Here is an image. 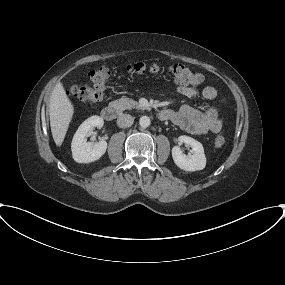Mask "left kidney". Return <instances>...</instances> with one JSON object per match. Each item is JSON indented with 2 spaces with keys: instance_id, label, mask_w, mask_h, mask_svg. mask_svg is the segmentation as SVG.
I'll return each instance as SVG.
<instances>
[{
  "instance_id": "1",
  "label": "left kidney",
  "mask_w": 285,
  "mask_h": 285,
  "mask_svg": "<svg viewBox=\"0 0 285 285\" xmlns=\"http://www.w3.org/2000/svg\"><path fill=\"white\" fill-rule=\"evenodd\" d=\"M180 144L185 143L192 148L191 154H183L180 147L174 146L172 148V157L174 163L185 171H198L203 170L206 166V157L204 154L203 146L197 140L182 135L178 138Z\"/></svg>"
}]
</instances>
